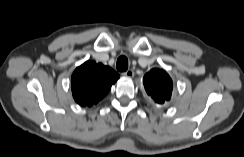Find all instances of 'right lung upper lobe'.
Returning <instances> with one entry per match:
<instances>
[{"label":"right lung upper lobe","instance_id":"obj_1","mask_svg":"<svg viewBox=\"0 0 244 157\" xmlns=\"http://www.w3.org/2000/svg\"><path fill=\"white\" fill-rule=\"evenodd\" d=\"M118 78L119 75L110 67L87 61L72 74L73 97L81 106L97 104Z\"/></svg>","mask_w":244,"mask_h":157}]
</instances>
